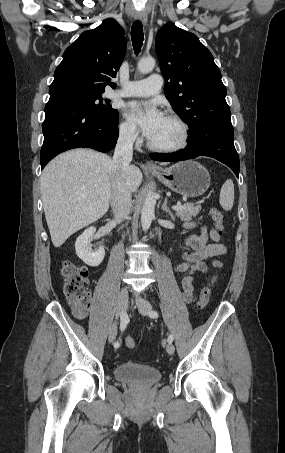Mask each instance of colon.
Wrapping results in <instances>:
<instances>
[{
  "instance_id": "colon-1",
  "label": "colon",
  "mask_w": 285,
  "mask_h": 453,
  "mask_svg": "<svg viewBox=\"0 0 285 453\" xmlns=\"http://www.w3.org/2000/svg\"><path fill=\"white\" fill-rule=\"evenodd\" d=\"M213 222L215 223L219 234L224 229L223 213L218 208L213 207L210 211ZM61 274L63 276V295L78 317H84L90 307L91 294L88 289L89 276L87 269L72 261H64L61 265ZM211 297V288L205 285L198 296L197 307L205 308ZM125 344L128 348L134 349L136 342L132 337H126Z\"/></svg>"
}]
</instances>
